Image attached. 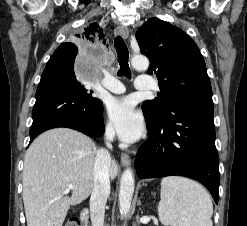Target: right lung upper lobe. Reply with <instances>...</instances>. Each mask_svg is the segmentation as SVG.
Segmentation results:
<instances>
[{"mask_svg": "<svg viewBox=\"0 0 247 226\" xmlns=\"http://www.w3.org/2000/svg\"><path fill=\"white\" fill-rule=\"evenodd\" d=\"M77 37L88 45L104 44L105 33L103 28L96 22L89 24ZM78 48L73 43H63L54 52L62 56L76 57Z\"/></svg>", "mask_w": 247, "mask_h": 226, "instance_id": "obj_1", "label": "right lung upper lobe"}]
</instances>
